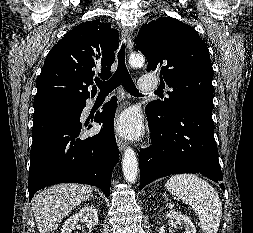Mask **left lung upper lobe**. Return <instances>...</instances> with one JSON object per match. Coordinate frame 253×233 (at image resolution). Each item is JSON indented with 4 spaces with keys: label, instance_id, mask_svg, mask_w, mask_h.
I'll list each match as a JSON object with an SVG mask.
<instances>
[{
    "label": "left lung upper lobe",
    "instance_id": "1",
    "mask_svg": "<svg viewBox=\"0 0 253 233\" xmlns=\"http://www.w3.org/2000/svg\"><path fill=\"white\" fill-rule=\"evenodd\" d=\"M135 43L146 56L147 71L159 72L162 83L173 88L169 98L148 105L157 119L168 123L177 111L197 105L213 109L214 72L209 50L195 29L159 17L140 28Z\"/></svg>",
    "mask_w": 253,
    "mask_h": 233
}]
</instances>
